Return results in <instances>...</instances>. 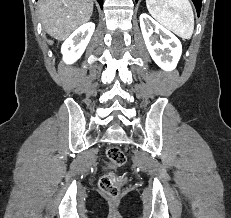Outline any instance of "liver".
Returning <instances> with one entry per match:
<instances>
[{"label": "liver", "mask_w": 231, "mask_h": 218, "mask_svg": "<svg viewBox=\"0 0 231 218\" xmlns=\"http://www.w3.org/2000/svg\"><path fill=\"white\" fill-rule=\"evenodd\" d=\"M38 11L45 31L62 41L90 20L93 0H39Z\"/></svg>", "instance_id": "6515ba94"}]
</instances>
